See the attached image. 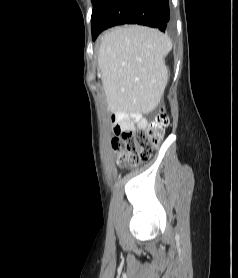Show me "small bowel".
Returning <instances> with one entry per match:
<instances>
[{"label": "small bowel", "instance_id": "small-bowel-1", "mask_svg": "<svg viewBox=\"0 0 238 278\" xmlns=\"http://www.w3.org/2000/svg\"><path fill=\"white\" fill-rule=\"evenodd\" d=\"M111 121L114 125L115 133L125 130L145 128L147 126V120L139 112L128 113L124 111H117L112 115Z\"/></svg>", "mask_w": 238, "mask_h": 278}]
</instances>
